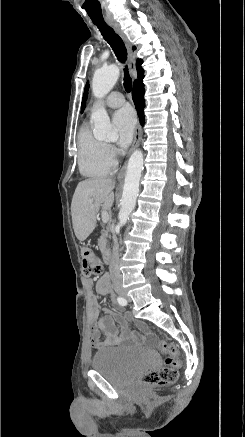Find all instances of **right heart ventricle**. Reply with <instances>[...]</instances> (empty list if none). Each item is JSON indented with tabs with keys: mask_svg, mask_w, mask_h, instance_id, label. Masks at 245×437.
<instances>
[{
	"mask_svg": "<svg viewBox=\"0 0 245 437\" xmlns=\"http://www.w3.org/2000/svg\"><path fill=\"white\" fill-rule=\"evenodd\" d=\"M78 166L82 175L88 178L108 176L114 169L106 155V144L96 139L88 122H84L78 132Z\"/></svg>",
	"mask_w": 245,
	"mask_h": 437,
	"instance_id": "right-heart-ventricle-1",
	"label": "right heart ventricle"
}]
</instances>
